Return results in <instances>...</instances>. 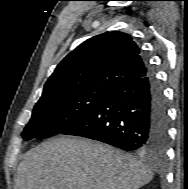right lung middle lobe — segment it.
<instances>
[{"mask_svg":"<svg viewBox=\"0 0 188 189\" xmlns=\"http://www.w3.org/2000/svg\"><path fill=\"white\" fill-rule=\"evenodd\" d=\"M111 91L107 88H93L41 97L23 131V139H44L69 129Z\"/></svg>","mask_w":188,"mask_h":189,"instance_id":"right-lung-middle-lobe-1","label":"right lung middle lobe"}]
</instances>
